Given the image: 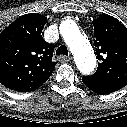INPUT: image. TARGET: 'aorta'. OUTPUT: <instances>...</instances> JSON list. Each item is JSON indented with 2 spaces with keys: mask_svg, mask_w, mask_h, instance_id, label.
Wrapping results in <instances>:
<instances>
[{
  "mask_svg": "<svg viewBox=\"0 0 127 127\" xmlns=\"http://www.w3.org/2000/svg\"><path fill=\"white\" fill-rule=\"evenodd\" d=\"M60 32L73 52L80 72L92 73L96 66V57L90 42L81 34L77 24L72 20H66L61 24Z\"/></svg>",
  "mask_w": 127,
  "mask_h": 127,
  "instance_id": "obj_1",
  "label": "aorta"
}]
</instances>
